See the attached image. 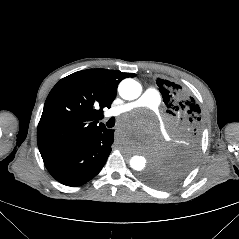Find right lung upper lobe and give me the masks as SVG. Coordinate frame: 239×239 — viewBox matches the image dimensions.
Returning <instances> with one entry per match:
<instances>
[{"instance_id":"1","label":"right lung upper lobe","mask_w":239,"mask_h":239,"mask_svg":"<svg viewBox=\"0 0 239 239\" xmlns=\"http://www.w3.org/2000/svg\"><path fill=\"white\" fill-rule=\"evenodd\" d=\"M133 73L88 69L61 79L50 91L37 129L42 157L78 144L105 128L104 107L116 97L119 82Z\"/></svg>"}]
</instances>
